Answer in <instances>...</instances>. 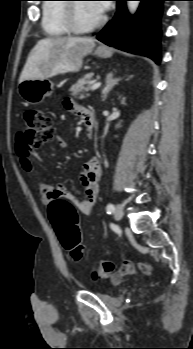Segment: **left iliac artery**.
Returning a JSON list of instances; mask_svg holds the SVG:
<instances>
[{"label":"left iliac artery","instance_id":"obj_1","mask_svg":"<svg viewBox=\"0 0 193 349\" xmlns=\"http://www.w3.org/2000/svg\"><path fill=\"white\" fill-rule=\"evenodd\" d=\"M114 209H115V207H114L113 204L110 203V204L107 205L106 210H107L108 214H111L114 211Z\"/></svg>","mask_w":193,"mask_h":349}]
</instances>
